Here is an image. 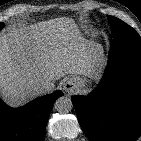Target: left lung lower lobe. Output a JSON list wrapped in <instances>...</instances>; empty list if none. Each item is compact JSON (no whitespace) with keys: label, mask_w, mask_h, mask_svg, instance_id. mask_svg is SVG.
<instances>
[{"label":"left lung lower lobe","mask_w":141,"mask_h":141,"mask_svg":"<svg viewBox=\"0 0 141 141\" xmlns=\"http://www.w3.org/2000/svg\"><path fill=\"white\" fill-rule=\"evenodd\" d=\"M72 102L90 141L136 140L141 135V42L113 39L98 88Z\"/></svg>","instance_id":"obj_1"}]
</instances>
